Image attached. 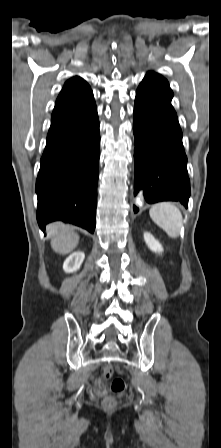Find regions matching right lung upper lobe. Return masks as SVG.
Returning a JSON list of instances; mask_svg holds the SVG:
<instances>
[{
    "instance_id": "right-lung-upper-lobe-1",
    "label": "right lung upper lobe",
    "mask_w": 221,
    "mask_h": 448,
    "mask_svg": "<svg viewBox=\"0 0 221 448\" xmlns=\"http://www.w3.org/2000/svg\"><path fill=\"white\" fill-rule=\"evenodd\" d=\"M91 93L90 86L82 78L75 76L69 79L56 100L53 113L80 101Z\"/></svg>"
}]
</instances>
